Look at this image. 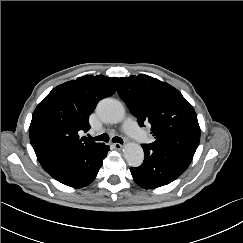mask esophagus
Masks as SVG:
<instances>
[{
  "label": "esophagus",
  "instance_id": "1",
  "mask_svg": "<svg viewBox=\"0 0 243 243\" xmlns=\"http://www.w3.org/2000/svg\"><path fill=\"white\" fill-rule=\"evenodd\" d=\"M114 148L117 150H122L123 149V145L119 144V143H115L113 144Z\"/></svg>",
  "mask_w": 243,
  "mask_h": 243
}]
</instances>
